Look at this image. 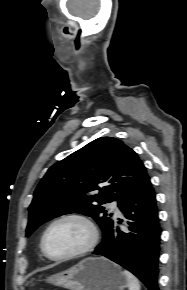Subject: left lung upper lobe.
<instances>
[{
	"label": "left lung upper lobe",
	"instance_id": "1",
	"mask_svg": "<svg viewBox=\"0 0 187 290\" xmlns=\"http://www.w3.org/2000/svg\"><path fill=\"white\" fill-rule=\"evenodd\" d=\"M146 175L137 154L122 141L101 137L90 142L45 174L29 207L26 236L44 222L74 212L92 217L104 234L114 219L101 205L119 204ZM95 189L99 194H93Z\"/></svg>",
	"mask_w": 187,
	"mask_h": 290
}]
</instances>
